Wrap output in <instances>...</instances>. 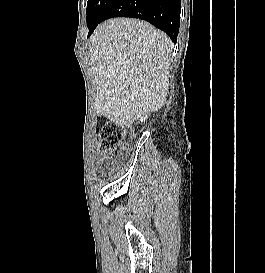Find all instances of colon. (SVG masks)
<instances>
[{"mask_svg": "<svg viewBox=\"0 0 265 273\" xmlns=\"http://www.w3.org/2000/svg\"><path fill=\"white\" fill-rule=\"evenodd\" d=\"M102 153L110 156L121 154V147L124 132L120 125L115 123H106L99 132Z\"/></svg>", "mask_w": 265, "mask_h": 273, "instance_id": "5ec220e1", "label": "colon"}]
</instances>
